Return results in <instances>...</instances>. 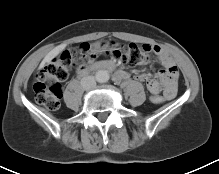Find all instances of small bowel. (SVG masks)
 Listing matches in <instances>:
<instances>
[{
	"mask_svg": "<svg viewBox=\"0 0 219 174\" xmlns=\"http://www.w3.org/2000/svg\"><path fill=\"white\" fill-rule=\"evenodd\" d=\"M149 50L153 51L159 59L162 68H160L156 74L161 78L163 83H158L154 79H150L145 73L138 76L140 81H146L145 87L147 92L151 95L162 96L165 95L166 99L170 100L175 97L177 92V81H178V69L174 64L170 55L157 45H144ZM129 74L126 71H118L113 79L115 82H120L128 78Z\"/></svg>",
	"mask_w": 219,
	"mask_h": 174,
	"instance_id": "obj_1",
	"label": "small bowel"
}]
</instances>
